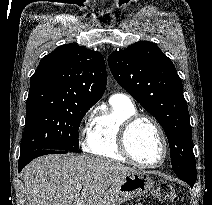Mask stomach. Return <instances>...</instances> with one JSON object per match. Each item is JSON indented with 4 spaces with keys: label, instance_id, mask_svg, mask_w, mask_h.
I'll list each match as a JSON object with an SVG mask.
<instances>
[{
    "label": "stomach",
    "instance_id": "1",
    "mask_svg": "<svg viewBox=\"0 0 212 205\" xmlns=\"http://www.w3.org/2000/svg\"><path fill=\"white\" fill-rule=\"evenodd\" d=\"M153 187L151 177L143 171H131L112 183L96 205H120L147 193Z\"/></svg>",
    "mask_w": 212,
    "mask_h": 205
}]
</instances>
